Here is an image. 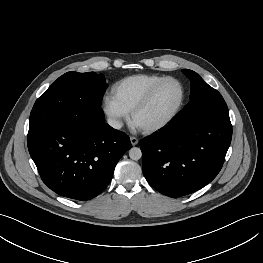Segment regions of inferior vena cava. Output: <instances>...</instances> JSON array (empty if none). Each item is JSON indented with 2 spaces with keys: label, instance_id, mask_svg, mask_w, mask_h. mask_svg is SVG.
<instances>
[{
  "label": "inferior vena cava",
  "instance_id": "inferior-vena-cava-1",
  "mask_svg": "<svg viewBox=\"0 0 263 263\" xmlns=\"http://www.w3.org/2000/svg\"><path fill=\"white\" fill-rule=\"evenodd\" d=\"M108 124L114 129H120L122 127V122L116 119H108Z\"/></svg>",
  "mask_w": 263,
  "mask_h": 263
}]
</instances>
